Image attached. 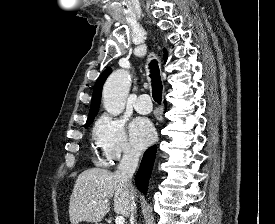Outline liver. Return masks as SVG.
I'll use <instances>...</instances> for the list:
<instances>
[{"mask_svg":"<svg viewBox=\"0 0 275 224\" xmlns=\"http://www.w3.org/2000/svg\"><path fill=\"white\" fill-rule=\"evenodd\" d=\"M112 199L115 213L129 217L130 191L117 171L93 168L82 172L70 196L71 224L100 222L110 211L109 202Z\"/></svg>","mask_w":275,"mask_h":224,"instance_id":"1","label":"liver"}]
</instances>
